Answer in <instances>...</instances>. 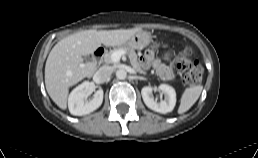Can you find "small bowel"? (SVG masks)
I'll return each mask as SVG.
<instances>
[{
	"instance_id": "1",
	"label": "small bowel",
	"mask_w": 258,
	"mask_h": 158,
	"mask_svg": "<svg viewBox=\"0 0 258 158\" xmlns=\"http://www.w3.org/2000/svg\"><path fill=\"white\" fill-rule=\"evenodd\" d=\"M143 61L146 65L155 69L157 74L164 80H171L174 78V73L167 63L161 61L158 57L155 56L153 49H148L145 54Z\"/></svg>"
}]
</instances>
